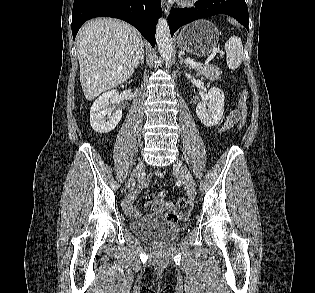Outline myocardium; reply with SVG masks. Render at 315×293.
I'll return each mask as SVG.
<instances>
[{
    "label": "myocardium",
    "instance_id": "1",
    "mask_svg": "<svg viewBox=\"0 0 315 293\" xmlns=\"http://www.w3.org/2000/svg\"><path fill=\"white\" fill-rule=\"evenodd\" d=\"M197 0H181V4L183 6H191L193 5Z\"/></svg>",
    "mask_w": 315,
    "mask_h": 293
}]
</instances>
